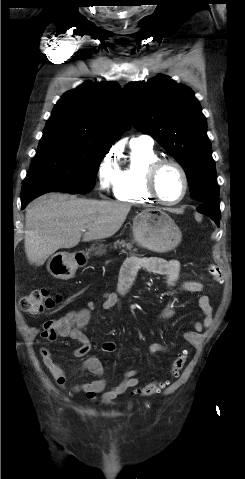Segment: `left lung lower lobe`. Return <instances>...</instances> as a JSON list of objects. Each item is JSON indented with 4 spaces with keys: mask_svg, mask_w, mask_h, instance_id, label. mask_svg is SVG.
Masks as SVG:
<instances>
[{
    "mask_svg": "<svg viewBox=\"0 0 245 479\" xmlns=\"http://www.w3.org/2000/svg\"><path fill=\"white\" fill-rule=\"evenodd\" d=\"M198 212L209 216L213 219L216 225L219 227V220H220V203L218 199H214L212 201L203 203L199 208Z\"/></svg>",
    "mask_w": 245,
    "mask_h": 479,
    "instance_id": "left-lung-lower-lobe-1",
    "label": "left lung lower lobe"
}]
</instances>
